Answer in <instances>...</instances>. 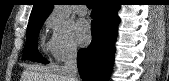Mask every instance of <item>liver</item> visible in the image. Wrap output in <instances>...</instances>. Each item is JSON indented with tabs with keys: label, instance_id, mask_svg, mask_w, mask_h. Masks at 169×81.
Wrapping results in <instances>:
<instances>
[{
	"label": "liver",
	"instance_id": "6515ba94",
	"mask_svg": "<svg viewBox=\"0 0 169 81\" xmlns=\"http://www.w3.org/2000/svg\"><path fill=\"white\" fill-rule=\"evenodd\" d=\"M21 81H70L60 65L30 66L25 69Z\"/></svg>",
	"mask_w": 169,
	"mask_h": 81
}]
</instances>
